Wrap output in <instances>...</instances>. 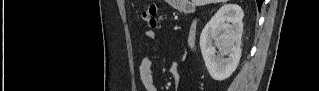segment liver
Here are the masks:
<instances>
[{"label":"liver","mask_w":319,"mask_h":91,"mask_svg":"<svg viewBox=\"0 0 319 91\" xmlns=\"http://www.w3.org/2000/svg\"><path fill=\"white\" fill-rule=\"evenodd\" d=\"M227 2V0H192V3L196 6L206 5L210 3Z\"/></svg>","instance_id":"liver-1"}]
</instances>
